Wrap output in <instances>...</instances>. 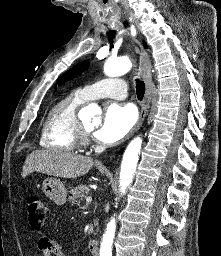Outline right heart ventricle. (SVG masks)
<instances>
[{
    "label": "right heart ventricle",
    "mask_w": 221,
    "mask_h": 256,
    "mask_svg": "<svg viewBox=\"0 0 221 256\" xmlns=\"http://www.w3.org/2000/svg\"><path fill=\"white\" fill-rule=\"evenodd\" d=\"M86 101L81 92L76 91L55 103L44 120L40 145L50 150L73 152L80 141L77 111Z\"/></svg>",
    "instance_id": "1"
}]
</instances>
